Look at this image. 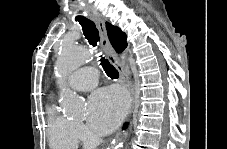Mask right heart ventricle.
<instances>
[{"label":"right heart ventricle","instance_id":"right-heart-ventricle-1","mask_svg":"<svg viewBox=\"0 0 227 149\" xmlns=\"http://www.w3.org/2000/svg\"><path fill=\"white\" fill-rule=\"evenodd\" d=\"M48 139L50 146L58 149H73L77 145L74 122L60 113L55 104L46 108Z\"/></svg>","mask_w":227,"mask_h":149}]
</instances>
